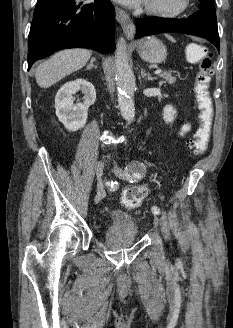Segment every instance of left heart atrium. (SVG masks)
<instances>
[{"label": "left heart atrium", "mask_w": 233, "mask_h": 328, "mask_svg": "<svg viewBox=\"0 0 233 328\" xmlns=\"http://www.w3.org/2000/svg\"><path fill=\"white\" fill-rule=\"evenodd\" d=\"M114 1L129 7H137L144 2V0H114Z\"/></svg>", "instance_id": "obj_1"}]
</instances>
